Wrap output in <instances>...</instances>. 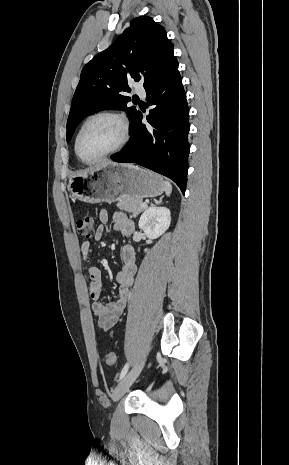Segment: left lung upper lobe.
Segmentation results:
<instances>
[{"mask_svg": "<svg viewBox=\"0 0 289 465\" xmlns=\"http://www.w3.org/2000/svg\"><path fill=\"white\" fill-rule=\"evenodd\" d=\"M177 67L174 47L164 27L148 16L133 19L108 49L83 68L67 120V142L80 121L97 110H123L134 121L138 111L127 107L131 98L124 94L130 92L128 79H142L147 88Z\"/></svg>", "mask_w": 289, "mask_h": 465, "instance_id": "5c2ea615", "label": "left lung upper lobe"}]
</instances>
